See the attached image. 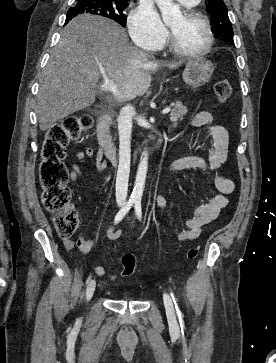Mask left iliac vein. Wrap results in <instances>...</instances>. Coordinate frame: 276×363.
<instances>
[{
	"label": "left iliac vein",
	"mask_w": 276,
	"mask_h": 363,
	"mask_svg": "<svg viewBox=\"0 0 276 363\" xmlns=\"http://www.w3.org/2000/svg\"><path fill=\"white\" fill-rule=\"evenodd\" d=\"M163 300H164V305H165L166 313H167L169 320L173 324H176L175 309H174V304H173L171 297L167 293H164Z\"/></svg>",
	"instance_id": "obj_1"
}]
</instances>
